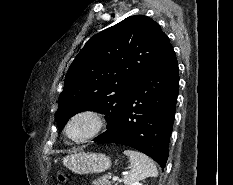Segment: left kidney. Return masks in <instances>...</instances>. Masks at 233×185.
<instances>
[{"label": "left kidney", "mask_w": 233, "mask_h": 185, "mask_svg": "<svg viewBox=\"0 0 233 185\" xmlns=\"http://www.w3.org/2000/svg\"><path fill=\"white\" fill-rule=\"evenodd\" d=\"M133 185H143L142 183L136 182Z\"/></svg>", "instance_id": "1"}]
</instances>
